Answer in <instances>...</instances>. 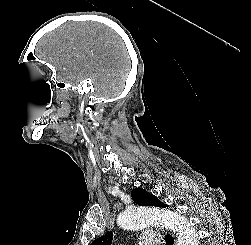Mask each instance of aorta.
I'll return each instance as SVG.
<instances>
[{
    "instance_id": "1",
    "label": "aorta",
    "mask_w": 251,
    "mask_h": 245,
    "mask_svg": "<svg viewBox=\"0 0 251 245\" xmlns=\"http://www.w3.org/2000/svg\"><path fill=\"white\" fill-rule=\"evenodd\" d=\"M118 225L127 230H138L149 226L162 225L177 233L175 245H198L199 238L189 221L172 211L135 206L121 212Z\"/></svg>"
}]
</instances>
